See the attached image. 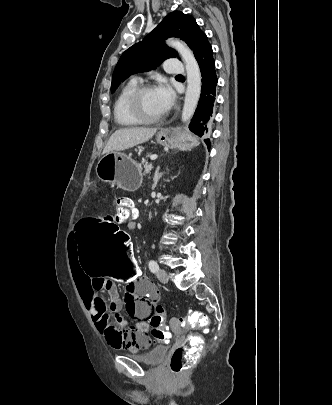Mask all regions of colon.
<instances>
[{
  "mask_svg": "<svg viewBox=\"0 0 332 405\" xmlns=\"http://www.w3.org/2000/svg\"><path fill=\"white\" fill-rule=\"evenodd\" d=\"M136 211L133 201L127 196L116 199L115 212L118 220L128 221ZM78 262H82L85 275H103L104 281H117L118 287H131L138 281L140 267L132 259V234L117 225V220H78ZM148 288H154L152 285ZM168 307L156 306L146 318L150 325L153 345L170 340L169 327L164 319L169 315ZM210 316L193 311L179 318L181 328L198 327L208 331ZM202 337L190 334L185 342L174 348L170 370L179 375L188 369L199 357Z\"/></svg>",
  "mask_w": 332,
  "mask_h": 405,
  "instance_id": "5ec220e1",
  "label": "colon"
}]
</instances>
